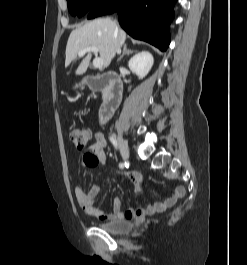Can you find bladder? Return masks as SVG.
Segmentation results:
<instances>
[{"mask_svg": "<svg viewBox=\"0 0 247 265\" xmlns=\"http://www.w3.org/2000/svg\"><path fill=\"white\" fill-rule=\"evenodd\" d=\"M96 225L106 232L117 235L127 234L132 230L133 227L132 223L127 219L99 222Z\"/></svg>", "mask_w": 247, "mask_h": 265, "instance_id": "1", "label": "bladder"}]
</instances>
